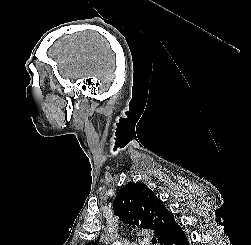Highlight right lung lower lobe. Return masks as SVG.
Instances as JSON below:
<instances>
[{
  "mask_svg": "<svg viewBox=\"0 0 251 245\" xmlns=\"http://www.w3.org/2000/svg\"><path fill=\"white\" fill-rule=\"evenodd\" d=\"M162 245H189L187 238L180 228L171 238L167 239Z\"/></svg>",
  "mask_w": 251,
  "mask_h": 245,
  "instance_id": "1",
  "label": "right lung lower lobe"
}]
</instances>
